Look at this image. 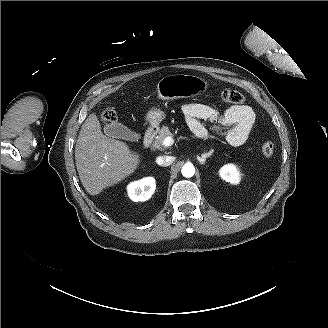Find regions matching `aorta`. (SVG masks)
Returning a JSON list of instances; mask_svg holds the SVG:
<instances>
[{
    "instance_id": "aorta-1",
    "label": "aorta",
    "mask_w": 328,
    "mask_h": 328,
    "mask_svg": "<svg viewBox=\"0 0 328 328\" xmlns=\"http://www.w3.org/2000/svg\"><path fill=\"white\" fill-rule=\"evenodd\" d=\"M181 172L184 177L189 178L194 175L195 168L191 163H187L182 167Z\"/></svg>"
}]
</instances>
